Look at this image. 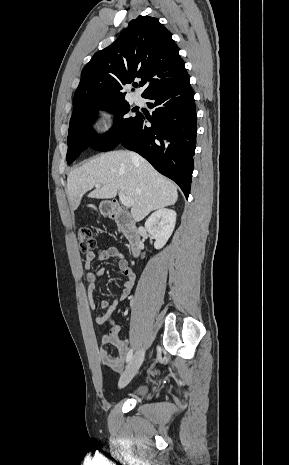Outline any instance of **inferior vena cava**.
Instances as JSON below:
<instances>
[{"label":"inferior vena cava","instance_id":"602c4592","mask_svg":"<svg viewBox=\"0 0 289 465\" xmlns=\"http://www.w3.org/2000/svg\"><path fill=\"white\" fill-rule=\"evenodd\" d=\"M131 157H132L133 162L135 163H138L140 160V156L137 155L136 153H131Z\"/></svg>","mask_w":289,"mask_h":465}]
</instances>
